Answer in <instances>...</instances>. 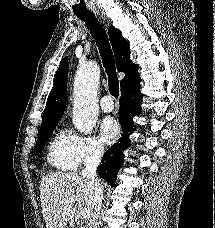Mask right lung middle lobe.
Instances as JSON below:
<instances>
[{"instance_id": "right-lung-middle-lobe-1", "label": "right lung middle lobe", "mask_w": 215, "mask_h": 228, "mask_svg": "<svg viewBox=\"0 0 215 228\" xmlns=\"http://www.w3.org/2000/svg\"><path fill=\"white\" fill-rule=\"evenodd\" d=\"M58 122L48 123L41 125L38 140L36 142L37 153L41 152L43 149L45 142L49 139L51 134L53 133L54 128L57 126Z\"/></svg>"}]
</instances>
